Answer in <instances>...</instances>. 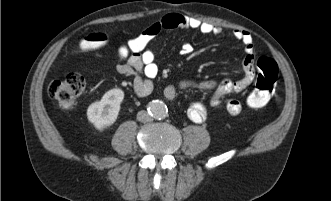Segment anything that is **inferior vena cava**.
I'll use <instances>...</instances> for the list:
<instances>
[{"mask_svg":"<svg viewBox=\"0 0 331 201\" xmlns=\"http://www.w3.org/2000/svg\"><path fill=\"white\" fill-rule=\"evenodd\" d=\"M137 120L140 122H150L153 118L147 111L141 110L137 113Z\"/></svg>","mask_w":331,"mask_h":201,"instance_id":"inferior-vena-cava-1","label":"inferior vena cava"}]
</instances>
